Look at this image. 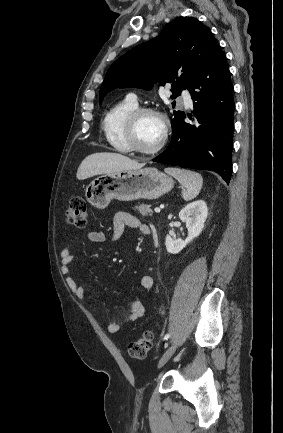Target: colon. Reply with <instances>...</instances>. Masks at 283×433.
I'll return each instance as SVG.
<instances>
[{"label":"colon","mask_w":283,"mask_h":433,"mask_svg":"<svg viewBox=\"0 0 283 433\" xmlns=\"http://www.w3.org/2000/svg\"><path fill=\"white\" fill-rule=\"evenodd\" d=\"M65 221L68 225L82 230L88 221L87 206L82 196H73L65 213ZM153 341V333L146 330L139 338L129 344L128 353L131 357L141 359L149 352Z\"/></svg>","instance_id":"colon-1"}]
</instances>
